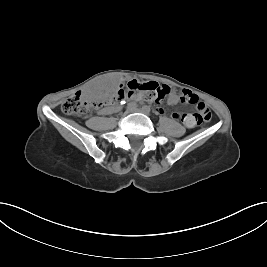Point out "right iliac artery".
Masks as SVG:
<instances>
[{"mask_svg": "<svg viewBox=\"0 0 267 267\" xmlns=\"http://www.w3.org/2000/svg\"><path fill=\"white\" fill-rule=\"evenodd\" d=\"M136 107H137V104L134 103V102H131V103H129V104L127 105V109H128V110H133V109H135Z\"/></svg>", "mask_w": 267, "mask_h": 267, "instance_id": "1", "label": "right iliac artery"}]
</instances>
